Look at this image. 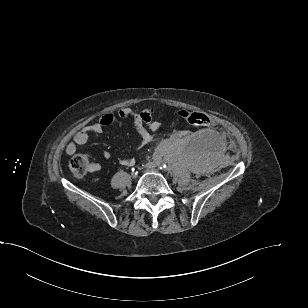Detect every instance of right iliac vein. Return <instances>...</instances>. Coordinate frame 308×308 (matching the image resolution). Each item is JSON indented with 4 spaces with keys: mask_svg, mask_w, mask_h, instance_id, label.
<instances>
[{
    "mask_svg": "<svg viewBox=\"0 0 308 308\" xmlns=\"http://www.w3.org/2000/svg\"><path fill=\"white\" fill-rule=\"evenodd\" d=\"M132 178H136L137 174L135 172L131 173Z\"/></svg>",
    "mask_w": 308,
    "mask_h": 308,
    "instance_id": "obj_1",
    "label": "right iliac vein"
}]
</instances>
